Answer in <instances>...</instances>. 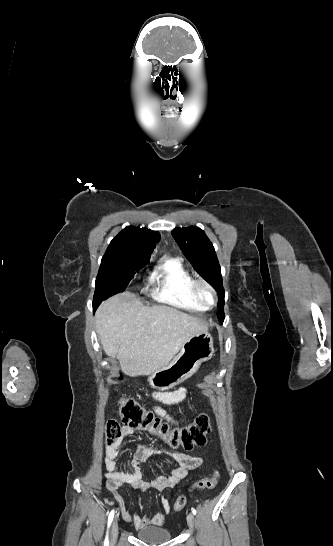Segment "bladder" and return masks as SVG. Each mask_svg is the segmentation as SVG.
Wrapping results in <instances>:
<instances>
[{"mask_svg": "<svg viewBox=\"0 0 333 546\" xmlns=\"http://www.w3.org/2000/svg\"><path fill=\"white\" fill-rule=\"evenodd\" d=\"M136 536L139 540L149 544H162L171 539V533L161 527L147 526L137 531Z\"/></svg>", "mask_w": 333, "mask_h": 546, "instance_id": "31cf9c89", "label": "bladder"}]
</instances>
